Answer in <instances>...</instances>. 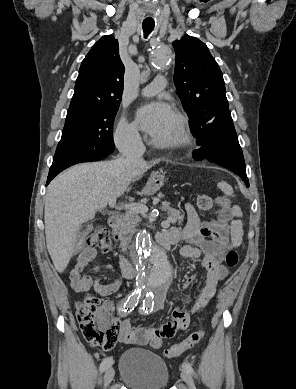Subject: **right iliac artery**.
<instances>
[{"label":"right iliac artery","instance_id":"1","mask_svg":"<svg viewBox=\"0 0 296 389\" xmlns=\"http://www.w3.org/2000/svg\"><path fill=\"white\" fill-rule=\"evenodd\" d=\"M141 296V289H135L134 292L126 299H124L121 302L119 311L121 314L129 313L131 312L138 304L139 299ZM112 364V358L107 357L103 359L101 365H100V371L103 372L105 371L110 365Z\"/></svg>","mask_w":296,"mask_h":389}]
</instances>
